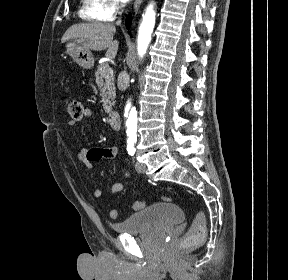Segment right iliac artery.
<instances>
[{"mask_svg": "<svg viewBox=\"0 0 288 280\" xmlns=\"http://www.w3.org/2000/svg\"><path fill=\"white\" fill-rule=\"evenodd\" d=\"M127 151H128V153H129L131 156L134 155V153H135V151H136V149H135V147H134V143L128 142V144H127Z\"/></svg>", "mask_w": 288, "mask_h": 280, "instance_id": "82829eb1", "label": "right iliac artery"}]
</instances>
